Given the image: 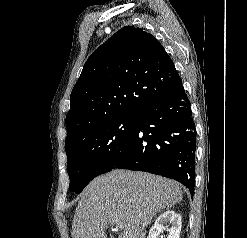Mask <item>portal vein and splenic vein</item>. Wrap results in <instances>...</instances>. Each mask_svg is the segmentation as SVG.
Here are the masks:
<instances>
[{
	"mask_svg": "<svg viewBox=\"0 0 247 238\" xmlns=\"http://www.w3.org/2000/svg\"><path fill=\"white\" fill-rule=\"evenodd\" d=\"M115 228L116 229H121L122 228V225L120 223H116Z\"/></svg>",
	"mask_w": 247,
	"mask_h": 238,
	"instance_id": "portal-vein-and-splenic-vein-1",
	"label": "portal vein and splenic vein"
}]
</instances>
